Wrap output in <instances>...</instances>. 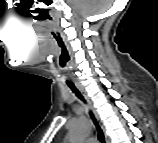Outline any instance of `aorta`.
I'll return each mask as SVG.
<instances>
[{
	"label": "aorta",
	"mask_w": 158,
	"mask_h": 143,
	"mask_svg": "<svg viewBox=\"0 0 158 143\" xmlns=\"http://www.w3.org/2000/svg\"><path fill=\"white\" fill-rule=\"evenodd\" d=\"M91 126L87 120L77 121L70 130L69 140L71 142L82 141L90 133Z\"/></svg>",
	"instance_id": "1"
}]
</instances>
